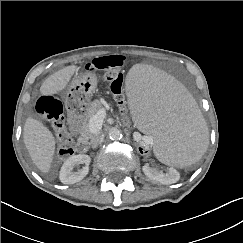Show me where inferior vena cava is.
Segmentation results:
<instances>
[{"instance_id":"602c4592","label":"inferior vena cava","mask_w":243,"mask_h":243,"mask_svg":"<svg viewBox=\"0 0 243 243\" xmlns=\"http://www.w3.org/2000/svg\"><path fill=\"white\" fill-rule=\"evenodd\" d=\"M101 142V137L99 135H96L94 138H92L91 140V145H92V148H96L99 143Z\"/></svg>"}]
</instances>
